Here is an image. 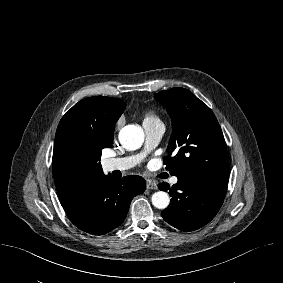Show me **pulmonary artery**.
Returning a JSON list of instances; mask_svg holds the SVG:
<instances>
[{
	"label": "pulmonary artery",
	"mask_w": 283,
	"mask_h": 283,
	"mask_svg": "<svg viewBox=\"0 0 283 283\" xmlns=\"http://www.w3.org/2000/svg\"><path fill=\"white\" fill-rule=\"evenodd\" d=\"M143 129L145 132L144 152L138 155L121 158H110L105 160L103 162V168L106 172L125 171L134 167L140 162V160L147 152H149L159 144L165 130L164 125L159 121L145 122L143 123ZM177 181L178 179L176 177H173L171 180L173 184L177 183Z\"/></svg>",
	"instance_id": "1"
}]
</instances>
